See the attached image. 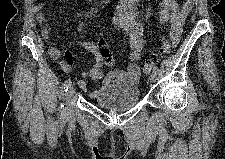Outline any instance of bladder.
<instances>
[{"mask_svg":"<svg viewBox=\"0 0 225 159\" xmlns=\"http://www.w3.org/2000/svg\"><path fill=\"white\" fill-rule=\"evenodd\" d=\"M93 97L96 105L123 112L138 104L140 91L135 83L114 81L104 84Z\"/></svg>","mask_w":225,"mask_h":159,"instance_id":"1","label":"bladder"}]
</instances>
